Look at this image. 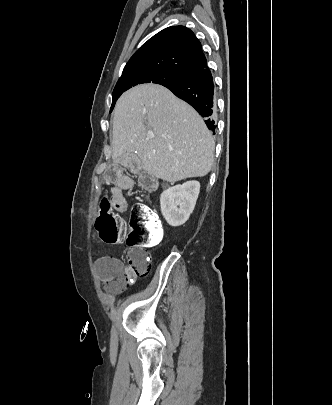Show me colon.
Segmentation results:
<instances>
[{
	"mask_svg": "<svg viewBox=\"0 0 332 405\" xmlns=\"http://www.w3.org/2000/svg\"><path fill=\"white\" fill-rule=\"evenodd\" d=\"M139 182L145 189L154 190L156 181L149 173H142ZM110 196H104L99 205V214L95 227L105 243L119 242L130 228V249L126 257V272L117 274L106 282L110 291H119L128 275H146L150 268L151 247H143L148 243L159 242L163 237V227L157 213L144 204H134L130 211L129 221L120 217L113 206L109 205Z\"/></svg>",
	"mask_w": 332,
	"mask_h": 405,
	"instance_id": "obj_1",
	"label": "colon"
}]
</instances>
